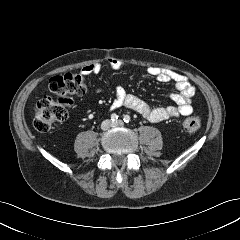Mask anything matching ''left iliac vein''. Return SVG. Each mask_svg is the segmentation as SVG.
<instances>
[{
	"label": "left iliac vein",
	"instance_id": "obj_1",
	"mask_svg": "<svg viewBox=\"0 0 240 240\" xmlns=\"http://www.w3.org/2000/svg\"><path fill=\"white\" fill-rule=\"evenodd\" d=\"M123 125V121L121 120H117L113 123V126H122Z\"/></svg>",
	"mask_w": 240,
	"mask_h": 240
}]
</instances>
